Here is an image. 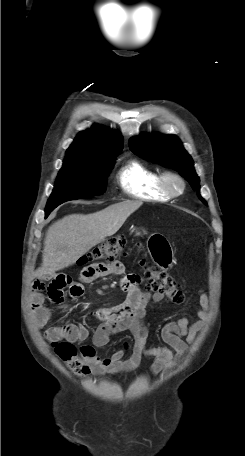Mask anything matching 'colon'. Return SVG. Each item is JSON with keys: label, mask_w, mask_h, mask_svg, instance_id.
<instances>
[{"label": "colon", "mask_w": 245, "mask_h": 456, "mask_svg": "<svg viewBox=\"0 0 245 456\" xmlns=\"http://www.w3.org/2000/svg\"><path fill=\"white\" fill-rule=\"evenodd\" d=\"M125 246L126 239L124 236L110 238L87 255L81 257L78 263L84 265L100 261L112 262L124 254ZM140 265L144 270L147 289L164 294L173 303L179 304L183 302L184 293L173 278L144 259L141 260ZM53 346L56 354L70 369L77 372H85L87 370L82 361L81 351L78 352L74 345L68 342H59L54 343Z\"/></svg>", "instance_id": "colon-1"}]
</instances>
